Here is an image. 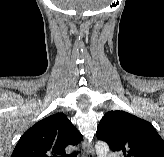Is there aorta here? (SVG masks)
Here are the masks:
<instances>
[{"label": "aorta", "mask_w": 164, "mask_h": 157, "mask_svg": "<svg viewBox=\"0 0 164 157\" xmlns=\"http://www.w3.org/2000/svg\"><path fill=\"white\" fill-rule=\"evenodd\" d=\"M97 157H107L109 146L106 142L98 141L95 145Z\"/></svg>", "instance_id": "1"}]
</instances>
